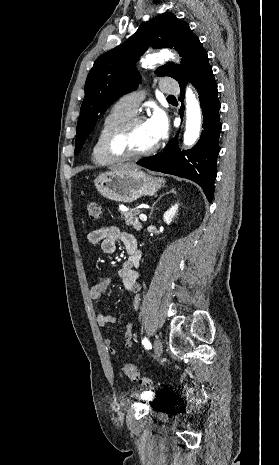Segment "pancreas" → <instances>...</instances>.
<instances>
[{
  "label": "pancreas",
  "instance_id": "obj_1",
  "mask_svg": "<svg viewBox=\"0 0 279 465\" xmlns=\"http://www.w3.org/2000/svg\"><path fill=\"white\" fill-rule=\"evenodd\" d=\"M138 211H121V220H124L127 226H131L137 231L142 229V224L138 220Z\"/></svg>",
  "mask_w": 279,
  "mask_h": 465
}]
</instances>
